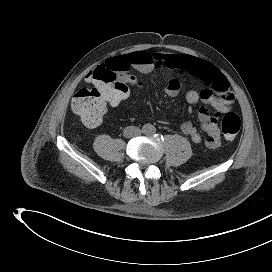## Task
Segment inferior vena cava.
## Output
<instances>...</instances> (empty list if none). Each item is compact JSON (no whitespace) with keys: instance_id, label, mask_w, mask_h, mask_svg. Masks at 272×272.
Returning <instances> with one entry per match:
<instances>
[{"instance_id":"1","label":"inferior vena cava","mask_w":272,"mask_h":272,"mask_svg":"<svg viewBox=\"0 0 272 272\" xmlns=\"http://www.w3.org/2000/svg\"><path fill=\"white\" fill-rule=\"evenodd\" d=\"M140 133H141V130L135 126H128L123 131V135L126 138L138 136Z\"/></svg>"}]
</instances>
